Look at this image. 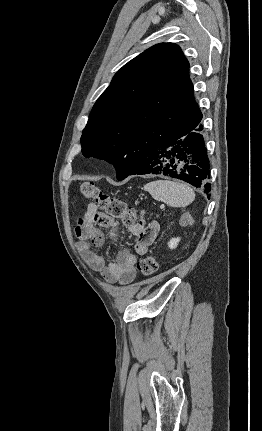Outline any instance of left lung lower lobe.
I'll return each instance as SVG.
<instances>
[{"label":"left lung lower lobe","instance_id":"left-lung-lower-lobe-1","mask_svg":"<svg viewBox=\"0 0 262 431\" xmlns=\"http://www.w3.org/2000/svg\"><path fill=\"white\" fill-rule=\"evenodd\" d=\"M202 130L201 115L140 157L130 175L163 174L210 192V163Z\"/></svg>","mask_w":262,"mask_h":431}]
</instances>
